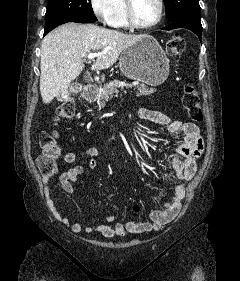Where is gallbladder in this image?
<instances>
[{
	"label": "gallbladder",
	"mask_w": 240,
	"mask_h": 281,
	"mask_svg": "<svg viewBox=\"0 0 240 281\" xmlns=\"http://www.w3.org/2000/svg\"><path fill=\"white\" fill-rule=\"evenodd\" d=\"M57 99L60 100V101H62V100L64 99V97L62 96L61 93H59V94L57 95Z\"/></svg>",
	"instance_id": "1"
}]
</instances>
